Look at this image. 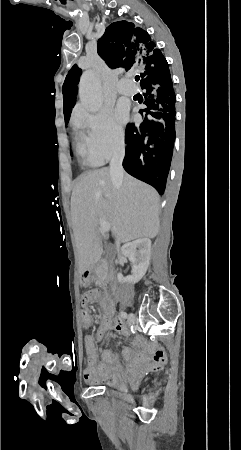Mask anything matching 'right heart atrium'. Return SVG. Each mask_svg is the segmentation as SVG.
<instances>
[{
    "instance_id": "1",
    "label": "right heart atrium",
    "mask_w": 241,
    "mask_h": 450,
    "mask_svg": "<svg viewBox=\"0 0 241 450\" xmlns=\"http://www.w3.org/2000/svg\"><path fill=\"white\" fill-rule=\"evenodd\" d=\"M76 130H84L86 155H95L107 161L123 153L124 128L118 123L110 108H103L93 116H74Z\"/></svg>"
}]
</instances>
